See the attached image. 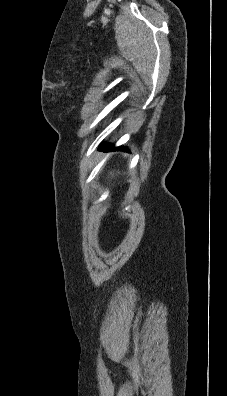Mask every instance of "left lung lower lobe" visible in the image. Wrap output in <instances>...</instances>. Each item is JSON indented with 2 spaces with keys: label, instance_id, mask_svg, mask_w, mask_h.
Segmentation results:
<instances>
[{
  "label": "left lung lower lobe",
  "instance_id": "obj_1",
  "mask_svg": "<svg viewBox=\"0 0 227 396\" xmlns=\"http://www.w3.org/2000/svg\"><path fill=\"white\" fill-rule=\"evenodd\" d=\"M113 144H102L101 146H100V150H105V151H108V150H110V149H113ZM116 149H121V150H123V151H128V149L127 148H123V147H119V148H116Z\"/></svg>",
  "mask_w": 227,
  "mask_h": 396
}]
</instances>
